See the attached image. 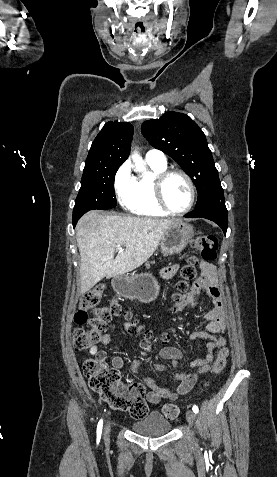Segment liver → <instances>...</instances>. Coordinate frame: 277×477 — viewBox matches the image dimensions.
Masks as SVG:
<instances>
[{
  "instance_id": "1",
  "label": "liver",
  "mask_w": 277,
  "mask_h": 477,
  "mask_svg": "<svg viewBox=\"0 0 277 477\" xmlns=\"http://www.w3.org/2000/svg\"><path fill=\"white\" fill-rule=\"evenodd\" d=\"M176 220L86 213L76 226L80 252V294L104 277L130 272L145 263L157 249L166 229ZM117 245L125 250L114 258Z\"/></svg>"
}]
</instances>
